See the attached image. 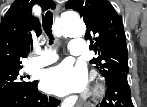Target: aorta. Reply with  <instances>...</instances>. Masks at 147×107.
Returning a JSON list of instances; mask_svg holds the SVG:
<instances>
[{"label":"aorta","mask_w":147,"mask_h":107,"mask_svg":"<svg viewBox=\"0 0 147 107\" xmlns=\"http://www.w3.org/2000/svg\"><path fill=\"white\" fill-rule=\"evenodd\" d=\"M85 31L84 23L77 17H69L61 24V34L64 37H81Z\"/></svg>","instance_id":"762f6f07"}]
</instances>
